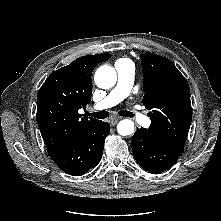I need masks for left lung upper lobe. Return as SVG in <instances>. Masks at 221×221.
Returning a JSON list of instances; mask_svg holds the SVG:
<instances>
[{"mask_svg": "<svg viewBox=\"0 0 221 221\" xmlns=\"http://www.w3.org/2000/svg\"><path fill=\"white\" fill-rule=\"evenodd\" d=\"M140 56L143 104L152 110L147 131L166 144L183 148L192 120L189 85L168 59L153 53Z\"/></svg>", "mask_w": 221, "mask_h": 221, "instance_id": "1", "label": "left lung upper lobe"}]
</instances>
